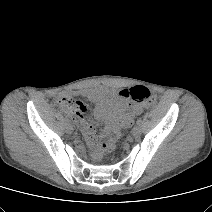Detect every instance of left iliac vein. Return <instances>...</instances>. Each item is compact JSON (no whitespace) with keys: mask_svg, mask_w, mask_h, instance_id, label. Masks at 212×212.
Returning a JSON list of instances; mask_svg holds the SVG:
<instances>
[{"mask_svg":"<svg viewBox=\"0 0 212 212\" xmlns=\"http://www.w3.org/2000/svg\"><path fill=\"white\" fill-rule=\"evenodd\" d=\"M140 134H141V128H140L138 125H136V126L132 129V135H133L134 137H138V136H140Z\"/></svg>","mask_w":212,"mask_h":212,"instance_id":"1","label":"left iliac vein"}]
</instances>
